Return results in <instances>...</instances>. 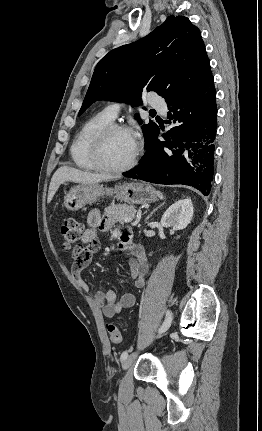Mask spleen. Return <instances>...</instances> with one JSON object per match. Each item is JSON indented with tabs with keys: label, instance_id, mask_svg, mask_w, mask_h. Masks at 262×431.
<instances>
[{
	"label": "spleen",
	"instance_id": "spleen-1",
	"mask_svg": "<svg viewBox=\"0 0 262 431\" xmlns=\"http://www.w3.org/2000/svg\"><path fill=\"white\" fill-rule=\"evenodd\" d=\"M157 195L159 196L160 199L164 198L163 194L160 191H157Z\"/></svg>",
	"mask_w": 262,
	"mask_h": 431
}]
</instances>
